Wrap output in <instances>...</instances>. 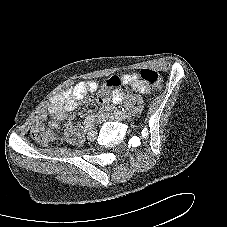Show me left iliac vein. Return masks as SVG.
<instances>
[{
  "mask_svg": "<svg viewBox=\"0 0 227 227\" xmlns=\"http://www.w3.org/2000/svg\"><path fill=\"white\" fill-rule=\"evenodd\" d=\"M128 115L127 114H116V113H106L105 115H102L100 118H99V122H103V121H106V120H109V121H122V120H125L127 119Z\"/></svg>",
  "mask_w": 227,
  "mask_h": 227,
  "instance_id": "4c4485c4",
  "label": "left iliac vein"
}]
</instances>
